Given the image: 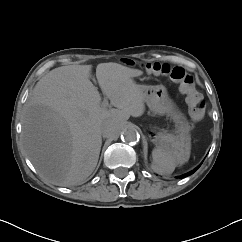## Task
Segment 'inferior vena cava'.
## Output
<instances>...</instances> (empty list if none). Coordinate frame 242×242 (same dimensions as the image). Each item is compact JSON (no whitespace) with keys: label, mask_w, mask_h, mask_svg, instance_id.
I'll use <instances>...</instances> for the list:
<instances>
[{"label":"inferior vena cava","mask_w":242,"mask_h":242,"mask_svg":"<svg viewBox=\"0 0 242 242\" xmlns=\"http://www.w3.org/2000/svg\"><path fill=\"white\" fill-rule=\"evenodd\" d=\"M120 132L119 122L114 118H109L98 131V136L102 140H115Z\"/></svg>","instance_id":"1"}]
</instances>
